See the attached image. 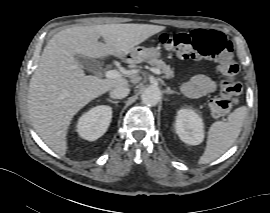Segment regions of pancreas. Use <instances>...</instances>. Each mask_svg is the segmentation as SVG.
<instances>
[{"label": "pancreas", "mask_w": 270, "mask_h": 213, "mask_svg": "<svg viewBox=\"0 0 270 213\" xmlns=\"http://www.w3.org/2000/svg\"><path fill=\"white\" fill-rule=\"evenodd\" d=\"M148 63L151 66H154L155 68L159 69L165 74V78L167 79H172L174 77V70L171 68L169 65H167L165 62L162 60L158 59H150Z\"/></svg>", "instance_id": "cf45deb5"}]
</instances>
